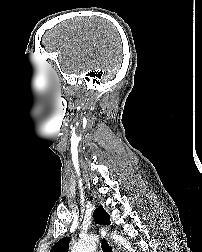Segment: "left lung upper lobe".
Returning a JSON list of instances; mask_svg holds the SVG:
<instances>
[{"label":"left lung upper lobe","mask_w":202,"mask_h":252,"mask_svg":"<svg viewBox=\"0 0 202 252\" xmlns=\"http://www.w3.org/2000/svg\"><path fill=\"white\" fill-rule=\"evenodd\" d=\"M95 223L106 224L110 223V216L105 212V210L101 207H98L94 213ZM69 238H63L58 241L50 252H67L69 245Z\"/></svg>","instance_id":"5c2ea615"}]
</instances>
